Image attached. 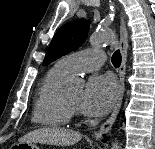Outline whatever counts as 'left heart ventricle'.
I'll return each instance as SVG.
<instances>
[{
    "label": "left heart ventricle",
    "mask_w": 155,
    "mask_h": 149,
    "mask_svg": "<svg viewBox=\"0 0 155 149\" xmlns=\"http://www.w3.org/2000/svg\"><path fill=\"white\" fill-rule=\"evenodd\" d=\"M81 96H82L81 91H72L66 94L67 99L77 107L79 106Z\"/></svg>",
    "instance_id": "b2bd125f"
}]
</instances>
